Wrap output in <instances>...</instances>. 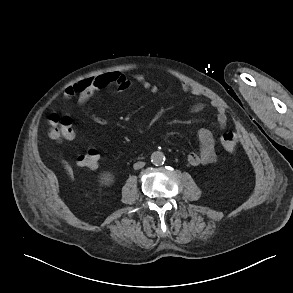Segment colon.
I'll use <instances>...</instances> for the list:
<instances>
[{
    "label": "colon",
    "mask_w": 293,
    "mask_h": 293,
    "mask_svg": "<svg viewBox=\"0 0 293 293\" xmlns=\"http://www.w3.org/2000/svg\"><path fill=\"white\" fill-rule=\"evenodd\" d=\"M50 124L49 135L55 140H71L74 137L73 121L67 116L51 114L48 118ZM223 148L227 152H233L237 145V137L232 131H225L220 136ZM100 161V151L97 148H90L78 157L79 166L95 169Z\"/></svg>",
    "instance_id": "obj_1"
}]
</instances>
